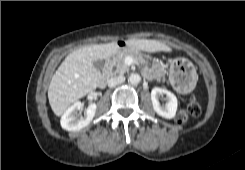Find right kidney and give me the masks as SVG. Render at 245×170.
I'll return each instance as SVG.
<instances>
[{
    "instance_id": "right-kidney-1",
    "label": "right kidney",
    "mask_w": 245,
    "mask_h": 170,
    "mask_svg": "<svg viewBox=\"0 0 245 170\" xmlns=\"http://www.w3.org/2000/svg\"><path fill=\"white\" fill-rule=\"evenodd\" d=\"M83 105L80 101L73 103L61 117V127L67 131H77L86 127L94 118L96 112V104H90L86 111L85 116L78 118V111L82 109Z\"/></svg>"
}]
</instances>
